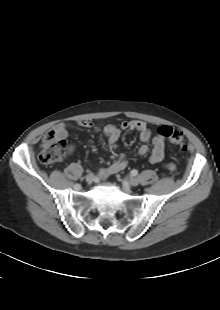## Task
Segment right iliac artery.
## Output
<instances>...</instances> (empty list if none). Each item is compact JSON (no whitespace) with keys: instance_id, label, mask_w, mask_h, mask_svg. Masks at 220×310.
Here are the masks:
<instances>
[{"instance_id":"right-iliac-artery-1","label":"right iliac artery","mask_w":220,"mask_h":310,"mask_svg":"<svg viewBox=\"0 0 220 310\" xmlns=\"http://www.w3.org/2000/svg\"><path fill=\"white\" fill-rule=\"evenodd\" d=\"M74 188H75L76 190H79V189L81 188V185H80V184H75Z\"/></svg>"}]
</instances>
